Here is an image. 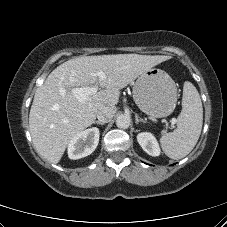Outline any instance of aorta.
I'll return each instance as SVG.
<instances>
[{"label": "aorta", "mask_w": 227, "mask_h": 227, "mask_svg": "<svg viewBox=\"0 0 227 227\" xmlns=\"http://www.w3.org/2000/svg\"><path fill=\"white\" fill-rule=\"evenodd\" d=\"M131 119L127 115H119L116 119V125L118 128L127 129L130 126Z\"/></svg>", "instance_id": "aorta-1"}]
</instances>
